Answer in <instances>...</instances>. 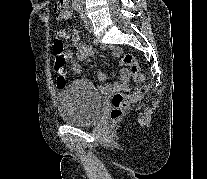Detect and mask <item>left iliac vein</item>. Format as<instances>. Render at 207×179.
Segmentation results:
<instances>
[{
  "label": "left iliac vein",
  "instance_id": "obj_1",
  "mask_svg": "<svg viewBox=\"0 0 207 179\" xmlns=\"http://www.w3.org/2000/svg\"><path fill=\"white\" fill-rule=\"evenodd\" d=\"M84 18H85L86 29L90 33L93 32V27H92L91 21L87 17H84Z\"/></svg>",
  "mask_w": 207,
  "mask_h": 179
}]
</instances>
